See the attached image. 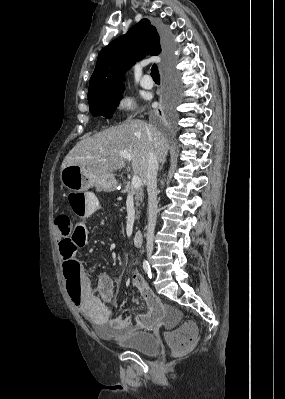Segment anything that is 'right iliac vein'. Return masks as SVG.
I'll return each instance as SVG.
<instances>
[{"mask_svg":"<svg viewBox=\"0 0 285 399\" xmlns=\"http://www.w3.org/2000/svg\"><path fill=\"white\" fill-rule=\"evenodd\" d=\"M151 255L152 253H148V259L151 261Z\"/></svg>","mask_w":285,"mask_h":399,"instance_id":"right-iliac-vein-1","label":"right iliac vein"}]
</instances>
